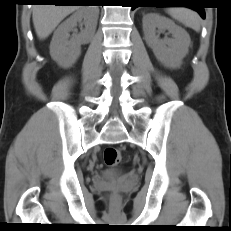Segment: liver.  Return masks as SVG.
Segmentation results:
<instances>
[{
    "label": "liver",
    "mask_w": 231,
    "mask_h": 231,
    "mask_svg": "<svg viewBox=\"0 0 231 231\" xmlns=\"http://www.w3.org/2000/svg\"><path fill=\"white\" fill-rule=\"evenodd\" d=\"M80 8L76 5H35L32 19L37 36L47 38L66 16Z\"/></svg>",
    "instance_id": "obj_1"
}]
</instances>
